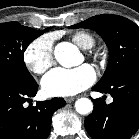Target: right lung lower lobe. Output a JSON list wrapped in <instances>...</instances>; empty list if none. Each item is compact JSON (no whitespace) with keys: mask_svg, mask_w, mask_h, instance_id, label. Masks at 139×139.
<instances>
[{"mask_svg":"<svg viewBox=\"0 0 139 139\" xmlns=\"http://www.w3.org/2000/svg\"><path fill=\"white\" fill-rule=\"evenodd\" d=\"M37 83L20 82L0 75V139H46L53 113L65 106L63 98L29 105L37 93Z\"/></svg>","mask_w":139,"mask_h":139,"instance_id":"98d812e1","label":"right lung lower lobe"}]
</instances>
